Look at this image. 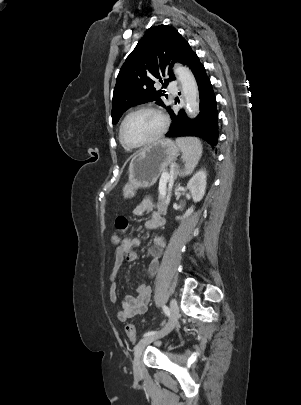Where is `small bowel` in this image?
Segmentation results:
<instances>
[{"label": "small bowel", "mask_w": 301, "mask_h": 405, "mask_svg": "<svg viewBox=\"0 0 301 405\" xmlns=\"http://www.w3.org/2000/svg\"><path fill=\"white\" fill-rule=\"evenodd\" d=\"M134 216L149 215V219L145 223L146 229L156 231L165 223L163 210H155L150 199L142 200L133 210ZM113 236V235H112ZM122 237V236H121ZM122 242L115 249L114 263L109 275L110 290L109 296L113 303L118 301L117 292V275L122 265L125 262H134L138 258V247L141 244L139 238L122 237ZM166 242L161 236L153 237V245L148 248L150 261L147 272L149 276H154L159 269V261ZM151 299V288L146 284H140L136 288V295H126L121 301L120 307L117 310V318L120 321H126L134 317L143 315L147 311L148 304Z\"/></svg>", "instance_id": "1"}]
</instances>
